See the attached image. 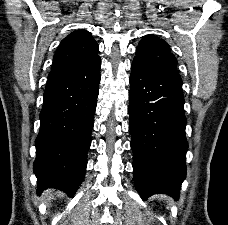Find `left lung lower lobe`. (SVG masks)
<instances>
[{"label":"left lung lower lobe","instance_id":"0a47b994","mask_svg":"<svg viewBox=\"0 0 228 225\" xmlns=\"http://www.w3.org/2000/svg\"><path fill=\"white\" fill-rule=\"evenodd\" d=\"M129 115L134 183L140 196L179 198L186 177V117L179 73L133 60Z\"/></svg>","mask_w":228,"mask_h":225}]
</instances>
